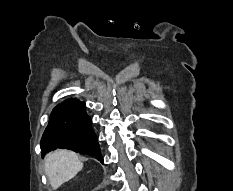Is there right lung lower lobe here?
<instances>
[{"mask_svg": "<svg viewBox=\"0 0 233 191\" xmlns=\"http://www.w3.org/2000/svg\"><path fill=\"white\" fill-rule=\"evenodd\" d=\"M85 103L75 98L66 99L52 111L41 139L42 153L66 148L94 156L103 163L97 137L91 127Z\"/></svg>", "mask_w": 233, "mask_h": 191, "instance_id": "98d812e1", "label": "right lung lower lobe"}]
</instances>
